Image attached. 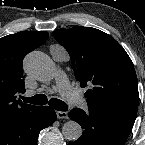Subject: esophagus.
<instances>
[{
  "instance_id": "esophagus-1",
  "label": "esophagus",
  "mask_w": 145,
  "mask_h": 145,
  "mask_svg": "<svg viewBox=\"0 0 145 145\" xmlns=\"http://www.w3.org/2000/svg\"><path fill=\"white\" fill-rule=\"evenodd\" d=\"M56 115H57L58 119H67L68 118V114L65 111H57Z\"/></svg>"
}]
</instances>
